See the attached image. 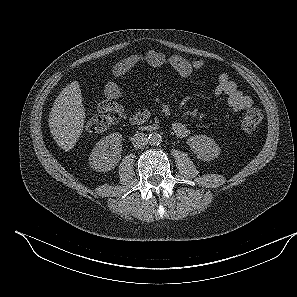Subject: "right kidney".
<instances>
[{"mask_svg":"<svg viewBox=\"0 0 297 297\" xmlns=\"http://www.w3.org/2000/svg\"><path fill=\"white\" fill-rule=\"evenodd\" d=\"M121 151L122 135L118 132L111 133L95 145L89 157V165L96 171H109L121 159Z\"/></svg>","mask_w":297,"mask_h":297,"instance_id":"ca27d5eb","label":"right kidney"}]
</instances>
